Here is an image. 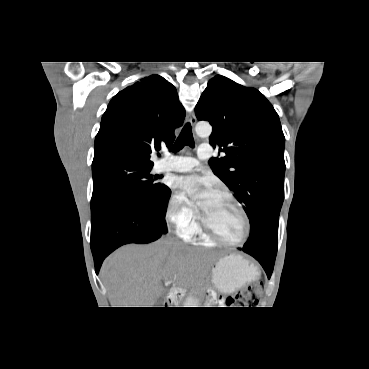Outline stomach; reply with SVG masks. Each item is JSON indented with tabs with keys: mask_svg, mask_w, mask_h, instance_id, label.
I'll return each instance as SVG.
<instances>
[{
	"mask_svg": "<svg viewBox=\"0 0 369 369\" xmlns=\"http://www.w3.org/2000/svg\"><path fill=\"white\" fill-rule=\"evenodd\" d=\"M256 276V268L238 255L221 258L212 269V282L224 294L242 288Z\"/></svg>",
	"mask_w": 369,
	"mask_h": 369,
	"instance_id": "stomach-1",
	"label": "stomach"
}]
</instances>
